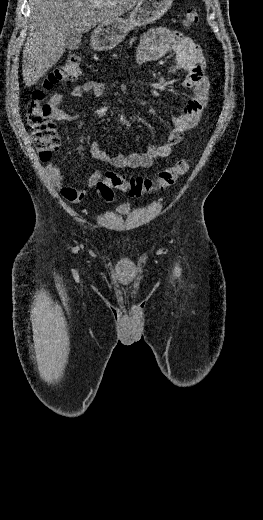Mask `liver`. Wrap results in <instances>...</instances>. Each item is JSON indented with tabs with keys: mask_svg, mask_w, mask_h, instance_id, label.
<instances>
[{
	"mask_svg": "<svg viewBox=\"0 0 263 520\" xmlns=\"http://www.w3.org/2000/svg\"><path fill=\"white\" fill-rule=\"evenodd\" d=\"M140 0H30V32L23 48L22 75L34 85L66 49L68 34H82L117 20ZM98 2V6L94 3Z\"/></svg>",
	"mask_w": 263,
	"mask_h": 520,
	"instance_id": "obj_1",
	"label": "liver"
}]
</instances>
